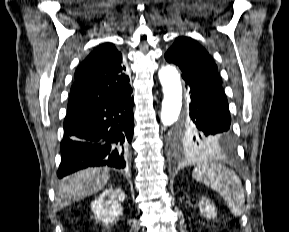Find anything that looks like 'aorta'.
Listing matches in <instances>:
<instances>
[{"label": "aorta", "mask_w": 289, "mask_h": 232, "mask_svg": "<svg viewBox=\"0 0 289 232\" xmlns=\"http://www.w3.org/2000/svg\"><path fill=\"white\" fill-rule=\"evenodd\" d=\"M164 98L162 101L161 122L171 126L179 119L182 109V85L180 75L175 67L164 66L158 72Z\"/></svg>", "instance_id": "obj_1"}]
</instances>
